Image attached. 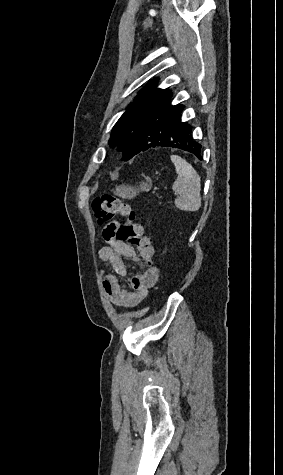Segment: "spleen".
I'll list each match as a JSON object with an SVG mask.
<instances>
[{
  "mask_svg": "<svg viewBox=\"0 0 283 475\" xmlns=\"http://www.w3.org/2000/svg\"><path fill=\"white\" fill-rule=\"evenodd\" d=\"M176 170L177 180H175L172 190L179 194L175 200L176 208L184 212H197L201 208V180L196 170L180 156H170Z\"/></svg>",
  "mask_w": 283,
  "mask_h": 475,
  "instance_id": "obj_1",
  "label": "spleen"
}]
</instances>
